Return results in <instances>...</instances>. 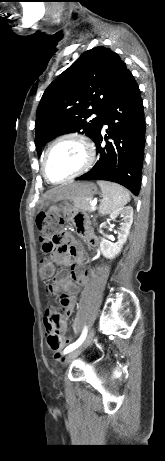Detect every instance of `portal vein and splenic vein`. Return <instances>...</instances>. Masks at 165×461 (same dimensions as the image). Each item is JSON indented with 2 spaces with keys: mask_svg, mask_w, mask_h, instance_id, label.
Wrapping results in <instances>:
<instances>
[{
  "mask_svg": "<svg viewBox=\"0 0 165 461\" xmlns=\"http://www.w3.org/2000/svg\"><path fill=\"white\" fill-rule=\"evenodd\" d=\"M96 205H97V200H93V201L91 202V206H92V207H95Z\"/></svg>",
  "mask_w": 165,
  "mask_h": 461,
  "instance_id": "portal-vein-and-splenic-vein-1",
  "label": "portal vein and splenic vein"
}]
</instances>
